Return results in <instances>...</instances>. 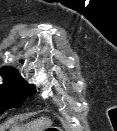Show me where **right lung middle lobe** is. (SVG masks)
Wrapping results in <instances>:
<instances>
[{
  "label": "right lung middle lobe",
  "instance_id": "right-lung-middle-lobe-1",
  "mask_svg": "<svg viewBox=\"0 0 117 131\" xmlns=\"http://www.w3.org/2000/svg\"><path fill=\"white\" fill-rule=\"evenodd\" d=\"M0 114L11 108H19L28 96L35 94L34 85H29L15 69L1 70Z\"/></svg>",
  "mask_w": 117,
  "mask_h": 131
}]
</instances>
